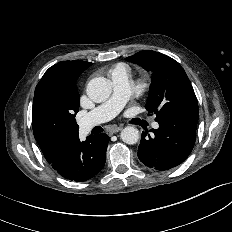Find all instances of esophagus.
I'll list each match as a JSON object with an SVG mask.
<instances>
[{"label":"esophagus","instance_id":"1","mask_svg":"<svg viewBox=\"0 0 232 232\" xmlns=\"http://www.w3.org/2000/svg\"><path fill=\"white\" fill-rule=\"evenodd\" d=\"M123 129V126H112L110 129H109V132L111 134H114V133H117L119 131H121Z\"/></svg>","mask_w":232,"mask_h":232}]
</instances>
